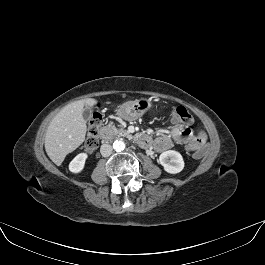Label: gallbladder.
Listing matches in <instances>:
<instances>
[{"label": "gallbladder", "instance_id": "gallbladder-1", "mask_svg": "<svg viewBox=\"0 0 265 265\" xmlns=\"http://www.w3.org/2000/svg\"><path fill=\"white\" fill-rule=\"evenodd\" d=\"M91 115H92L91 109L89 107H85L83 110V118L86 121H88L91 119Z\"/></svg>", "mask_w": 265, "mask_h": 265}]
</instances>
